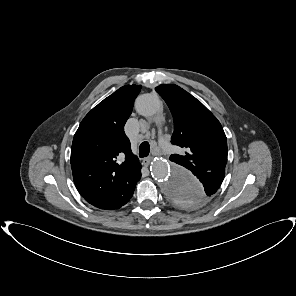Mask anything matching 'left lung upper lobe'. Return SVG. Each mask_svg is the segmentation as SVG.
Returning <instances> with one entry per match:
<instances>
[{
  "label": "left lung upper lobe",
  "instance_id": "obj_1",
  "mask_svg": "<svg viewBox=\"0 0 296 296\" xmlns=\"http://www.w3.org/2000/svg\"><path fill=\"white\" fill-rule=\"evenodd\" d=\"M167 103L174 119L171 142L185 148L184 156L170 160L189 169L203 184L197 191L176 190L172 201L183 208H198L215 194L213 182L225 174L227 139L217 118L195 97L177 85L162 84L155 88Z\"/></svg>",
  "mask_w": 296,
  "mask_h": 296
}]
</instances>
